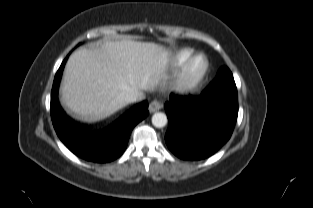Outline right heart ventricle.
Here are the masks:
<instances>
[{"instance_id":"e07e8e85","label":"right heart ventricle","mask_w":313,"mask_h":208,"mask_svg":"<svg viewBox=\"0 0 313 208\" xmlns=\"http://www.w3.org/2000/svg\"><path fill=\"white\" fill-rule=\"evenodd\" d=\"M193 53L190 48H179L172 51L168 57L172 67L181 66Z\"/></svg>"}]
</instances>
